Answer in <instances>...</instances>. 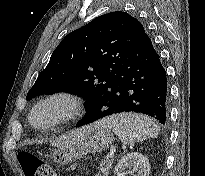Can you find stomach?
<instances>
[{
  "label": "stomach",
  "instance_id": "stomach-1",
  "mask_svg": "<svg viewBox=\"0 0 205 176\" xmlns=\"http://www.w3.org/2000/svg\"><path fill=\"white\" fill-rule=\"evenodd\" d=\"M89 128L87 136L82 141L68 147H59L54 151L53 161L66 165L84 157L89 152H101L112 144L114 137L109 128L97 123L90 125Z\"/></svg>",
  "mask_w": 205,
  "mask_h": 176
}]
</instances>
